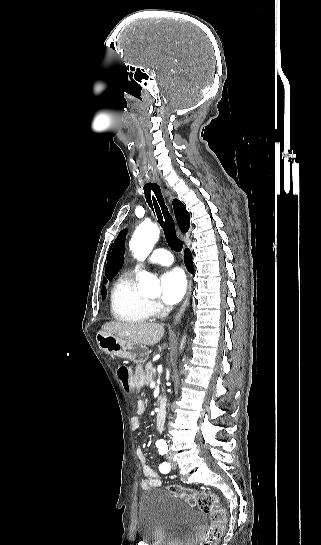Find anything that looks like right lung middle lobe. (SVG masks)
Returning <instances> with one entry per match:
<instances>
[{
    "mask_svg": "<svg viewBox=\"0 0 321 545\" xmlns=\"http://www.w3.org/2000/svg\"><path fill=\"white\" fill-rule=\"evenodd\" d=\"M102 294H103V298H104V297H105V294H106V290H105V289H103V293H102Z\"/></svg>",
    "mask_w": 321,
    "mask_h": 545,
    "instance_id": "right-lung-middle-lobe-1",
    "label": "right lung middle lobe"
}]
</instances>
